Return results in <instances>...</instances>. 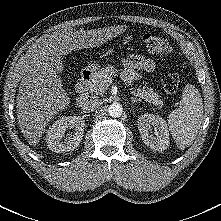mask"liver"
Masks as SVG:
<instances>
[{
    "mask_svg": "<svg viewBox=\"0 0 221 221\" xmlns=\"http://www.w3.org/2000/svg\"><path fill=\"white\" fill-rule=\"evenodd\" d=\"M123 26L80 30L71 28L47 35L27 55L16 113L19 127L30 145L36 146L47 124L70 103L60 73L62 57L73 50L94 48L117 37Z\"/></svg>",
    "mask_w": 221,
    "mask_h": 221,
    "instance_id": "6515ba94",
    "label": "liver"
}]
</instances>
